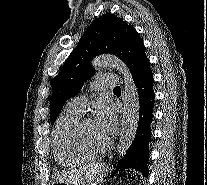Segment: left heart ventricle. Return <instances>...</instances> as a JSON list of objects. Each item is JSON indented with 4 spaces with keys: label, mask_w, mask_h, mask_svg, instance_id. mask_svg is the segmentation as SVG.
Masks as SVG:
<instances>
[{
    "label": "left heart ventricle",
    "mask_w": 207,
    "mask_h": 185,
    "mask_svg": "<svg viewBox=\"0 0 207 185\" xmlns=\"http://www.w3.org/2000/svg\"><path fill=\"white\" fill-rule=\"evenodd\" d=\"M84 133L91 144L97 149L103 148L109 140V138L97 129L94 121L90 119L86 120L84 123Z\"/></svg>",
    "instance_id": "1"
}]
</instances>
